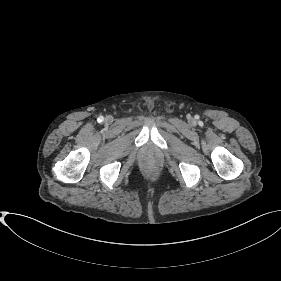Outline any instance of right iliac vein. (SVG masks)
I'll return each instance as SVG.
<instances>
[{
	"label": "right iliac vein",
	"mask_w": 281,
	"mask_h": 281,
	"mask_svg": "<svg viewBox=\"0 0 281 281\" xmlns=\"http://www.w3.org/2000/svg\"><path fill=\"white\" fill-rule=\"evenodd\" d=\"M106 121L110 122L111 121V117H107Z\"/></svg>",
	"instance_id": "right-iliac-vein-1"
}]
</instances>
